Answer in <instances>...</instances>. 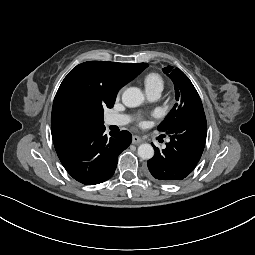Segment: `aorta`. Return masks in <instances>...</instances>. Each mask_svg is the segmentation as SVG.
Here are the masks:
<instances>
[{
  "label": "aorta",
  "instance_id": "762f6f07",
  "mask_svg": "<svg viewBox=\"0 0 255 255\" xmlns=\"http://www.w3.org/2000/svg\"><path fill=\"white\" fill-rule=\"evenodd\" d=\"M144 101V95L137 87L127 88L122 94V102L127 107H137ZM138 156L143 160H149L154 156V149L150 144H141L138 147Z\"/></svg>",
  "mask_w": 255,
  "mask_h": 255
}]
</instances>
